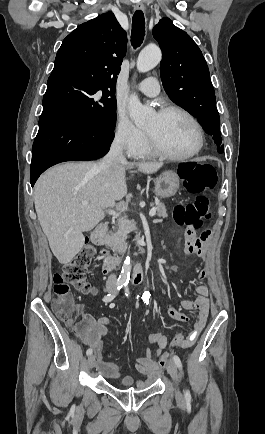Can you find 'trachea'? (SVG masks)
<instances>
[{
	"mask_svg": "<svg viewBox=\"0 0 265 434\" xmlns=\"http://www.w3.org/2000/svg\"><path fill=\"white\" fill-rule=\"evenodd\" d=\"M145 36V19L143 12L137 10L133 15L132 20V33H131V43L134 48L141 45Z\"/></svg>",
	"mask_w": 265,
	"mask_h": 434,
	"instance_id": "obj_1",
	"label": "trachea"
}]
</instances>
